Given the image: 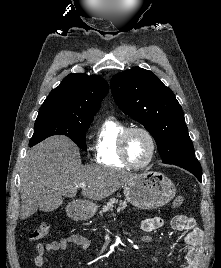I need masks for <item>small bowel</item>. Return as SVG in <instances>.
I'll return each mask as SVG.
<instances>
[{
  "label": "small bowel",
  "mask_w": 221,
  "mask_h": 268,
  "mask_svg": "<svg viewBox=\"0 0 221 268\" xmlns=\"http://www.w3.org/2000/svg\"><path fill=\"white\" fill-rule=\"evenodd\" d=\"M163 219L160 217L148 218L142 222V229L145 232H153L163 226ZM171 226L176 231H187L184 239V247L186 248V265L183 268H197L203 242V232L196 226V222L192 217L186 215H177L173 217ZM74 244L83 250H87L91 245V240L83 235L72 234L47 244L39 243L36 246L37 256L34 263L37 267L44 266L48 259L46 254L49 252H57L65 250L68 245Z\"/></svg>",
  "instance_id": "c3829d8e"
}]
</instances>
